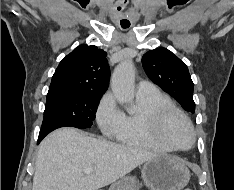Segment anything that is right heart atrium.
I'll return each mask as SVG.
<instances>
[{
	"mask_svg": "<svg viewBox=\"0 0 234 190\" xmlns=\"http://www.w3.org/2000/svg\"><path fill=\"white\" fill-rule=\"evenodd\" d=\"M95 118L100 130L107 136H115L118 132L123 112L119 109L116 99L111 92L105 93L100 99Z\"/></svg>",
	"mask_w": 234,
	"mask_h": 190,
	"instance_id": "1",
	"label": "right heart atrium"
}]
</instances>
